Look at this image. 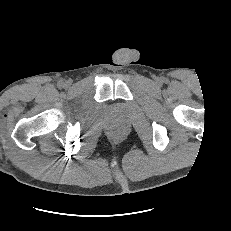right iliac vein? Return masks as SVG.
<instances>
[{"label": "right iliac vein", "mask_w": 231, "mask_h": 231, "mask_svg": "<svg viewBox=\"0 0 231 231\" xmlns=\"http://www.w3.org/2000/svg\"><path fill=\"white\" fill-rule=\"evenodd\" d=\"M69 84H70V83H69V82H67V83H66V86H68Z\"/></svg>", "instance_id": "63e3f726"}]
</instances>
